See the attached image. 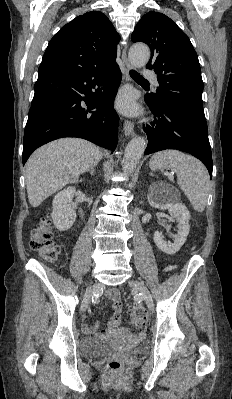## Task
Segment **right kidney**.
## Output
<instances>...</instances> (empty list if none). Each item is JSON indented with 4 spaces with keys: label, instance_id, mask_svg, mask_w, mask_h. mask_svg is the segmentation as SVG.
<instances>
[{
    "label": "right kidney",
    "instance_id": "ca27d5eb",
    "mask_svg": "<svg viewBox=\"0 0 232 399\" xmlns=\"http://www.w3.org/2000/svg\"><path fill=\"white\" fill-rule=\"evenodd\" d=\"M75 188H66L59 194H56L53 200V211L51 213L53 223L60 231H65L73 225L76 219V213L72 205Z\"/></svg>",
    "mask_w": 232,
    "mask_h": 399
}]
</instances>
